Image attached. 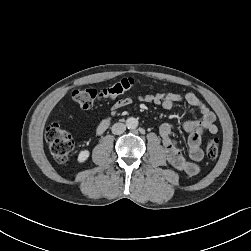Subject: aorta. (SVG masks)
Segmentation results:
<instances>
[{
    "label": "aorta",
    "instance_id": "aorta-1",
    "mask_svg": "<svg viewBox=\"0 0 251 251\" xmlns=\"http://www.w3.org/2000/svg\"><path fill=\"white\" fill-rule=\"evenodd\" d=\"M138 119L134 118V117H129L126 120V126L128 129H136L138 127Z\"/></svg>",
    "mask_w": 251,
    "mask_h": 251
}]
</instances>
